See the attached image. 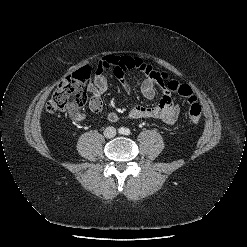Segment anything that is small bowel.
<instances>
[{
	"label": "small bowel",
	"instance_id": "obj_1",
	"mask_svg": "<svg viewBox=\"0 0 247 247\" xmlns=\"http://www.w3.org/2000/svg\"><path fill=\"white\" fill-rule=\"evenodd\" d=\"M112 69L115 76L120 80L125 90L128 86L123 80L126 71L136 69L144 74L145 79L141 84L143 96L149 100L156 96V87L161 90L162 96L155 106L137 105L130 109L125 115L118 112H110L108 120L118 122L122 119H159L166 124H174L180 115V106L175 104L171 98V91L168 89L169 76L165 72L155 70L143 59L133 56L107 55L102 58L94 74L92 82L88 84V90L91 93L89 108L98 113L103 108L102 95L108 89V81L104 72ZM171 82V81H170ZM75 121H82L85 115L80 112L70 114Z\"/></svg>",
	"mask_w": 247,
	"mask_h": 247
}]
</instances>
